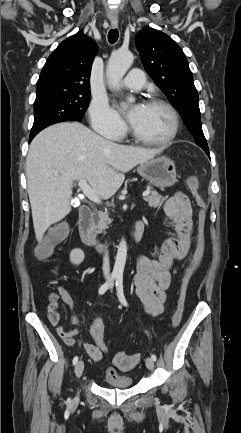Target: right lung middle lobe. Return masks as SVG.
Here are the masks:
<instances>
[{
	"mask_svg": "<svg viewBox=\"0 0 241 433\" xmlns=\"http://www.w3.org/2000/svg\"><path fill=\"white\" fill-rule=\"evenodd\" d=\"M90 94L48 95L36 98L34 123L30 135H36L44 128L64 121H81L89 104Z\"/></svg>",
	"mask_w": 241,
	"mask_h": 433,
	"instance_id": "dd1d6c3e",
	"label": "right lung middle lobe"
}]
</instances>
